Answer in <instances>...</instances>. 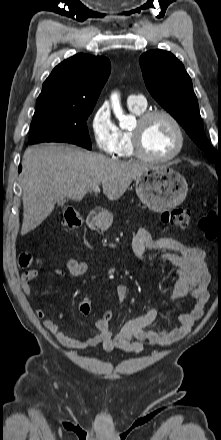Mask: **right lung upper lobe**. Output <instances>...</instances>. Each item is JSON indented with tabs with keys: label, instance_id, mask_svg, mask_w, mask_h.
Masks as SVG:
<instances>
[{
	"label": "right lung upper lobe",
	"instance_id": "1",
	"mask_svg": "<svg viewBox=\"0 0 221 440\" xmlns=\"http://www.w3.org/2000/svg\"><path fill=\"white\" fill-rule=\"evenodd\" d=\"M102 56L76 54L57 65L45 80L37 104L45 101L94 107L110 74Z\"/></svg>",
	"mask_w": 221,
	"mask_h": 440
}]
</instances>
